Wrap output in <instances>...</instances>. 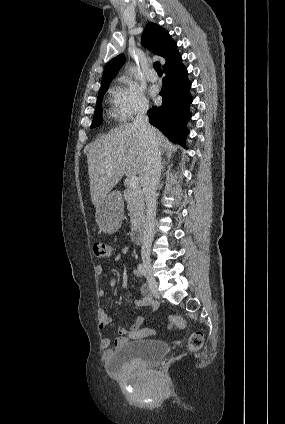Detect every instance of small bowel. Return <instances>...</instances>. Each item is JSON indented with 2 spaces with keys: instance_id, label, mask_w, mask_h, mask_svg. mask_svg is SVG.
Returning a JSON list of instances; mask_svg holds the SVG:
<instances>
[{
  "instance_id": "obj_1",
  "label": "small bowel",
  "mask_w": 285,
  "mask_h": 424,
  "mask_svg": "<svg viewBox=\"0 0 285 424\" xmlns=\"http://www.w3.org/2000/svg\"><path fill=\"white\" fill-rule=\"evenodd\" d=\"M128 248L123 247L121 250L114 255V260L118 261L122 254L127 253ZM95 272L97 275H103L104 274V268L102 266H97L95 269ZM135 275L138 278H141V273L138 270H135ZM110 286L111 288H114L116 286V281L114 279L110 280ZM141 293L143 297L141 299H138L135 301V305L139 308H147V307H155L156 304L152 299L151 292L149 288L146 285L141 286ZM99 295L100 296H106V291L104 288L99 289ZM110 299V297H108ZM144 322V318L142 316H139L135 319L133 322L131 328L129 330L121 329L119 331L118 337L114 341V349L119 348L120 346L126 344L130 340L135 339H142L141 333H142V325ZM112 323L111 317L106 312H101L100 314V320H99V328L104 329L108 327ZM103 347L105 348V357L108 359L112 356L113 350L109 349V346L111 344V341L109 338L103 339Z\"/></svg>"
}]
</instances>
